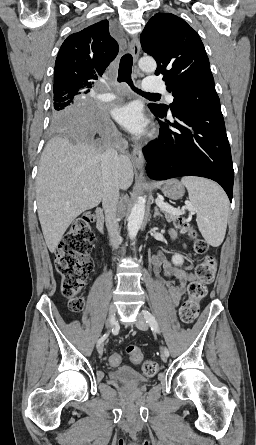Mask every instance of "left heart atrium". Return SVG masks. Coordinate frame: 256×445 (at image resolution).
I'll return each instance as SVG.
<instances>
[{
  "label": "left heart atrium",
  "instance_id": "1",
  "mask_svg": "<svg viewBox=\"0 0 256 445\" xmlns=\"http://www.w3.org/2000/svg\"><path fill=\"white\" fill-rule=\"evenodd\" d=\"M113 117L123 128L134 134H142L147 128V120L137 104L115 108Z\"/></svg>",
  "mask_w": 256,
  "mask_h": 445
}]
</instances>
